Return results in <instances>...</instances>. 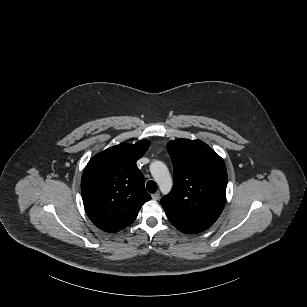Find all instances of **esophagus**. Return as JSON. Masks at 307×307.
<instances>
[{"label":"esophagus","mask_w":307,"mask_h":307,"mask_svg":"<svg viewBox=\"0 0 307 307\" xmlns=\"http://www.w3.org/2000/svg\"><path fill=\"white\" fill-rule=\"evenodd\" d=\"M159 197H160V193L159 192H156V193L152 194V199L153 200H158Z\"/></svg>","instance_id":"esophagus-1"}]
</instances>
